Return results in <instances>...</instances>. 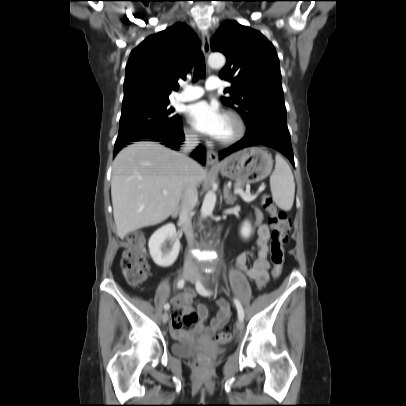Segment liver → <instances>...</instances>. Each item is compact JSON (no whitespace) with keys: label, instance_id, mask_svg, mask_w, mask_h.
Listing matches in <instances>:
<instances>
[{"label":"liver","instance_id":"1","mask_svg":"<svg viewBox=\"0 0 406 406\" xmlns=\"http://www.w3.org/2000/svg\"><path fill=\"white\" fill-rule=\"evenodd\" d=\"M185 167L180 153L156 142H135L118 153L112 164L111 197L120 239L173 213L185 189ZM193 171L199 185L206 170L194 161Z\"/></svg>","mask_w":406,"mask_h":406}]
</instances>
